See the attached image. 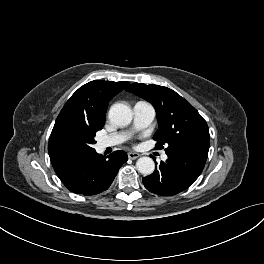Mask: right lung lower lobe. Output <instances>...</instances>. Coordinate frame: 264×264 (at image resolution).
I'll return each instance as SVG.
<instances>
[{"label": "right lung lower lobe", "mask_w": 264, "mask_h": 264, "mask_svg": "<svg viewBox=\"0 0 264 264\" xmlns=\"http://www.w3.org/2000/svg\"><path fill=\"white\" fill-rule=\"evenodd\" d=\"M128 160L124 151L108 157L96 151L62 160L53 164L62 183L73 193L95 195L107 190L120 167Z\"/></svg>", "instance_id": "98d812e1"}]
</instances>
